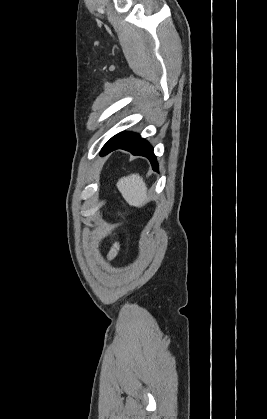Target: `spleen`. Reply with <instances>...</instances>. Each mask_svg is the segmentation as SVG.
Listing matches in <instances>:
<instances>
[{"label":"spleen","instance_id":"1","mask_svg":"<svg viewBox=\"0 0 267 419\" xmlns=\"http://www.w3.org/2000/svg\"><path fill=\"white\" fill-rule=\"evenodd\" d=\"M117 188L131 206H143L148 200L146 184L139 174H131L119 179Z\"/></svg>","mask_w":267,"mask_h":419}]
</instances>
